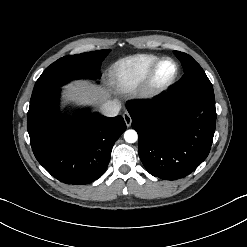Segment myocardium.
<instances>
[{
  "mask_svg": "<svg viewBox=\"0 0 247 247\" xmlns=\"http://www.w3.org/2000/svg\"><path fill=\"white\" fill-rule=\"evenodd\" d=\"M172 61L175 66H176V72L173 78L168 81L167 83L157 86L154 84V75L155 72L158 68V66L163 62V61ZM180 76V65L179 63L172 57H161L159 58L148 70L146 76L144 77L143 81L138 87V95L143 98V99H155L157 97L162 96L166 92H168L178 81Z\"/></svg>",
  "mask_w": 247,
  "mask_h": 247,
  "instance_id": "obj_1",
  "label": "myocardium"
}]
</instances>
